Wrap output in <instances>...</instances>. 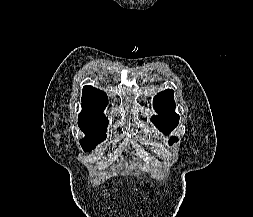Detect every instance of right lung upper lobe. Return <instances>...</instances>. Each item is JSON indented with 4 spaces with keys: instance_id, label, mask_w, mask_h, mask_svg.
<instances>
[{
    "instance_id": "obj_1",
    "label": "right lung upper lobe",
    "mask_w": 253,
    "mask_h": 217,
    "mask_svg": "<svg viewBox=\"0 0 253 217\" xmlns=\"http://www.w3.org/2000/svg\"><path fill=\"white\" fill-rule=\"evenodd\" d=\"M108 105V97L105 92L92 86H84L82 95V111L78 122L83 123H108L103 114Z\"/></svg>"
}]
</instances>
